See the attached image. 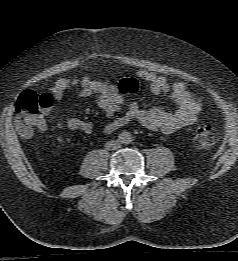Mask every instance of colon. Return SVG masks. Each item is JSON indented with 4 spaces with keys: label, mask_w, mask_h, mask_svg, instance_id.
<instances>
[{
    "label": "colon",
    "mask_w": 238,
    "mask_h": 261,
    "mask_svg": "<svg viewBox=\"0 0 238 261\" xmlns=\"http://www.w3.org/2000/svg\"><path fill=\"white\" fill-rule=\"evenodd\" d=\"M117 87L121 93H134L138 90L139 83L135 78H123L118 81ZM53 103L52 97L46 93H22L16 104L15 125L19 134L27 138L35 129H39L44 123L45 112ZM193 141L199 148H209L216 143L217 135L211 126L204 125L197 128Z\"/></svg>",
    "instance_id": "1"
}]
</instances>
